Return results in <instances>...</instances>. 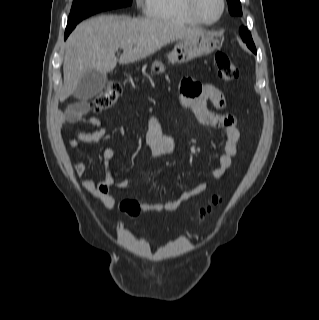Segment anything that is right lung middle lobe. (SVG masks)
Instances as JSON below:
<instances>
[{"instance_id":"1","label":"right lung middle lobe","mask_w":319,"mask_h":320,"mask_svg":"<svg viewBox=\"0 0 319 320\" xmlns=\"http://www.w3.org/2000/svg\"><path fill=\"white\" fill-rule=\"evenodd\" d=\"M132 0H74L66 30L74 29L81 20L101 11L130 6Z\"/></svg>"}]
</instances>
